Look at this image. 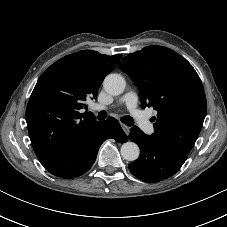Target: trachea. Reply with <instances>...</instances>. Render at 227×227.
<instances>
[{
  "mask_svg": "<svg viewBox=\"0 0 227 227\" xmlns=\"http://www.w3.org/2000/svg\"><path fill=\"white\" fill-rule=\"evenodd\" d=\"M106 117H107V113H106L105 111H101V112L98 114V116H97V118H98L99 120H104V119H106ZM121 122L124 123V124H126V125H128V126H131V125L133 124L134 120H133V118L130 117V116H123V117L121 118Z\"/></svg>",
  "mask_w": 227,
  "mask_h": 227,
  "instance_id": "3493384b",
  "label": "trachea"
}]
</instances>
